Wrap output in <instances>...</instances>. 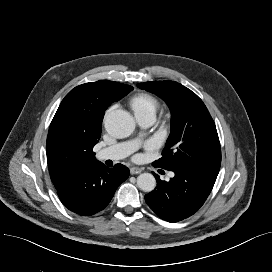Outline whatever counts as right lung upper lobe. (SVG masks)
I'll return each instance as SVG.
<instances>
[{"label": "right lung upper lobe", "instance_id": "obj_1", "mask_svg": "<svg viewBox=\"0 0 272 272\" xmlns=\"http://www.w3.org/2000/svg\"><path fill=\"white\" fill-rule=\"evenodd\" d=\"M133 89L100 80L72 89L62 100L49 128L46 153L51 180L60 190L76 181L86 168L101 163L93 147L101 137L107 107Z\"/></svg>", "mask_w": 272, "mask_h": 272}]
</instances>
